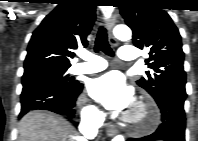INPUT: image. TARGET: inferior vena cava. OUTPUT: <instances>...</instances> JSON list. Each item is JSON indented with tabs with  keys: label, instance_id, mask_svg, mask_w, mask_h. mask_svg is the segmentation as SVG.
<instances>
[{
	"label": "inferior vena cava",
	"instance_id": "obj_1",
	"mask_svg": "<svg viewBox=\"0 0 198 141\" xmlns=\"http://www.w3.org/2000/svg\"><path fill=\"white\" fill-rule=\"evenodd\" d=\"M104 117L98 111H91L82 118V122L87 123L88 127L80 126V131L86 139H92L96 136L98 128L102 125Z\"/></svg>",
	"mask_w": 198,
	"mask_h": 141
}]
</instances>
